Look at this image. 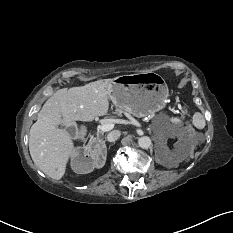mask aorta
I'll use <instances>...</instances> for the list:
<instances>
[{
  "label": "aorta",
  "instance_id": "aorta-1",
  "mask_svg": "<svg viewBox=\"0 0 233 233\" xmlns=\"http://www.w3.org/2000/svg\"><path fill=\"white\" fill-rule=\"evenodd\" d=\"M151 143H152V141H151L150 137H148V136H143V137H140L138 139V145H139V147H141L143 149L149 148L151 146Z\"/></svg>",
  "mask_w": 233,
  "mask_h": 233
}]
</instances>
